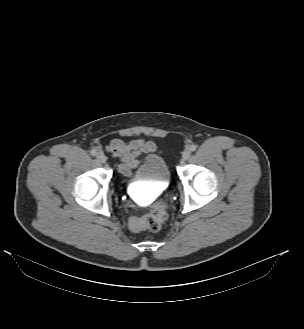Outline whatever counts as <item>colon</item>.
I'll list each match as a JSON object with an SVG mask.
<instances>
[{
	"label": "colon",
	"mask_w": 304,
	"mask_h": 329,
	"mask_svg": "<svg viewBox=\"0 0 304 329\" xmlns=\"http://www.w3.org/2000/svg\"><path fill=\"white\" fill-rule=\"evenodd\" d=\"M167 202L159 200L154 203L152 212L142 217L131 216L128 219V227L132 231H141L148 229L150 231H159L167 219Z\"/></svg>",
	"instance_id": "5ec220e1"
}]
</instances>
